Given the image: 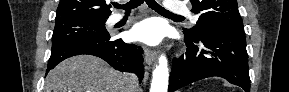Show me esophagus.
Returning a JSON list of instances; mask_svg holds the SVG:
<instances>
[{
	"instance_id": "obj_1",
	"label": "esophagus",
	"mask_w": 289,
	"mask_h": 92,
	"mask_svg": "<svg viewBox=\"0 0 289 92\" xmlns=\"http://www.w3.org/2000/svg\"><path fill=\"white\" fill-rule=\"evenodd\" d=\"M145 54V62L148 66H151L154 62L157 60V53L155 50L145 48L144 49Z\"/></svg>"
}]
</instances>
